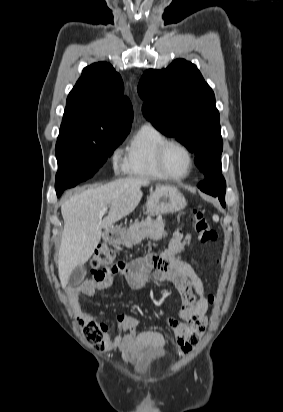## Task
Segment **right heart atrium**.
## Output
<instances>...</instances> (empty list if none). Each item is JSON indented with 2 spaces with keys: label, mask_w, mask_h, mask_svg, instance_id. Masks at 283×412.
Masks as SVG:
<instances>
[{
  "label": "right heart atrium",
  "mask_w": 283,
  "mask_h": 412,
  "mask_svg": "<svg viewBox=\"0 0 283 412\" xmlns=\"http://www.w3.org/2000/svg\"><path fill=\"white\" fill-rule=\"evenodd\" d=\"M112 159H113L115 167L120 166L121 159H120L119 151L117 149L114 150V152L112 154Z\"/></svg>",
  "instance_id": "d8ad5b80"
}]
</instances>
